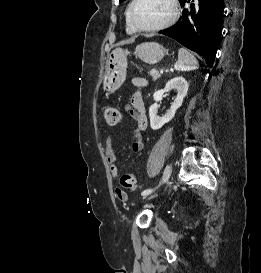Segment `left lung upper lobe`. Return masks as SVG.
Returning <instances> with one entry per match:
<instances>
[{
    "mask_svg": "<svg viewBox=\"0 0 261 273\" xmlns=\"http://www.w3.org/2000/svg\"><path fill=\"white\" fill-rule=\"evenodd\" d=\"M123 1H125V0H120V2H123Z\"/></svg>",
    "mask_w": 261,
    "mask_h": 273,
    "instance_id": "1",
    "label": "left lung upper lobe"
}]
</instances>
